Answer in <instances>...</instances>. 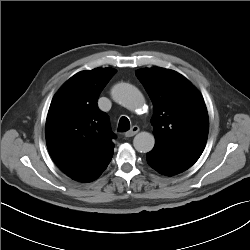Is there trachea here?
Here are the masks:
<instances>
[{
    "mask_svg": "<svg viewBox=\"0 0 250 250\" xmlns=\"http://www.w3.org/2000/svg\"><path fill=\"white\" fill-rule=\"evenodd\" d=\"M130 129V122L127 117H121L119 120L118 131L126 132Z\"/></svg>",
    "mask_w": 250,
    "mask_h": 250,
    "instance_id": "1",
    "label": "trachea"
}]
</instances>
